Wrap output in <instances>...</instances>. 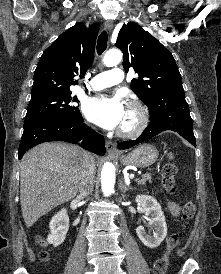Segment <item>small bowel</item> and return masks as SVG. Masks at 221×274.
<instances>
[{
  "label": "small bowel",
  "instance_id": "obj_1",
  "mask_svg": "<svg viewBox=\"0 0 221 274\" xmlns=\"http://www.w3.org/2000/svg\"><path fill=\"white\" fill-rule=\"evenodd\" d=\"M166 205L172 215L177 216L180 213V207L176 203L167 200Z\"/></svg>",
  "mask_w": 221,
  "mask_h": 274
}]
</instances>
